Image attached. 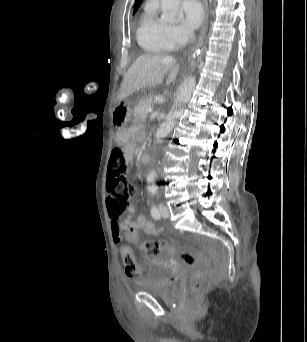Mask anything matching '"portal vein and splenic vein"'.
Here are the masks:
<instances>
[{
    "mask_svg": "<svg viewBox=\"0 0 307 342\" xmlns=\"http://www.w3.org/2000/svg\"><path fill=\"white\" fill-rule=\"evenodd\" d=\"M149 112H153L152 108H148V110H145V114H149Z\"/></svg>",
    "mask_w": 307,
    "mask_h": 342,
    "instance_id": "1",
    "label": "portal vein and splenic vein"
}]
</instances>
